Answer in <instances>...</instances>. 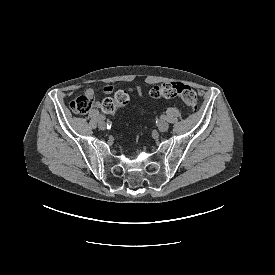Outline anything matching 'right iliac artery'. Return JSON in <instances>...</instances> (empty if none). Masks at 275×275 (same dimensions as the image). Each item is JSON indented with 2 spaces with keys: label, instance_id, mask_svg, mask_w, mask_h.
<instances>
[{
  "label": "right iliac artery",
  "instance_id": "1",
  "mask_svg": "<svg viewBox=\"0 0 275 275\" xmlns=\"http://www.w3.org/2000/svg\"><path fill=\"white\" fill-rule=\"evenodd\" d=\"M99 119H100V120H104L105 117H104L103 115H100V116H99Z\"/></svg>",
  "mask_w": 275,
  "mask_h": 275
}]
</instances>
